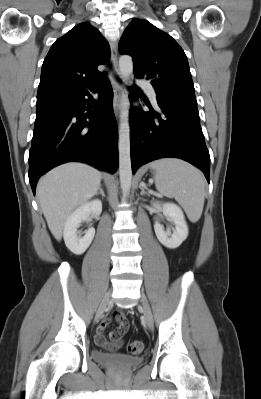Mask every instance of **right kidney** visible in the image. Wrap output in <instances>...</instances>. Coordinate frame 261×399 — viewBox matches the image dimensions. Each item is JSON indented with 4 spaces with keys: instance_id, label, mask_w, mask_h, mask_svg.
Masks as SVG:
<instances>
[{
    "instance_id": "right-kidney-1",
    "label": "right kidney",
    "mask_w": 261,
    "mask_h": 399,
    "mask_svg": "<svg viewBox=\"0 0 261 399\" xmlns=\"http://www.w3.org/2000/svg\"><path fill=\"white\" fill-rule=\"evenodd\" d=\"M101 212L102 202L95 199L82 204L67 218L64 225L63 237L67 248L72 253L76 255L83 254L95 236L94 228H89L83 237L78 236L77 228L80 226V223L87 220L91 214L99 216Z\"/></svg>"
}]
</instances>
